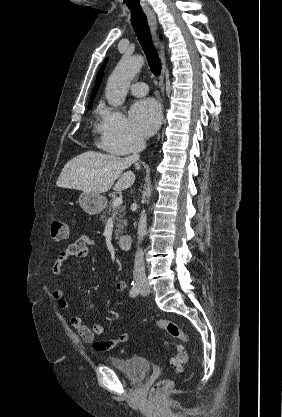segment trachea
I'll use <instances>...</instances> for the list:
<instances>
[{
    "instance_id": "3493384b",
    "label": "trachea",
    "mask_w": 282,
    "mask_h": 417,
    "mask_svg": "<svg viewBox=\"0 0 282 417\" xmlns=\"http://www.w3.org/2000/svg\"><path fill=\"white\" fill-rule=\"evenodd\" d=\"M131 22L136 37L146 55L150 70L158 77L161 73L162 65L152 42L150 28L145 13L142 10H131Z\"/></svg>"
}]
</instances>
